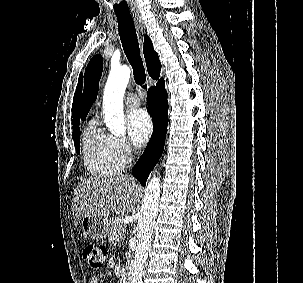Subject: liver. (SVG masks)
I'll list each match as a JSON object with an SVG mask.
<instances>
[{"mask_svg":"<svg viewBox=\"0 0 303 283\" xmlns=\"http://www.w3.org/2000/svg\"><path fill=\"white\" fill-rule=\"evenodd\" d=\"M139 186L130 175L91 177L78 183L73 198L75 225L84 216H109L134 209Z\"/></svg>","mask_w":303,"mask_h":283,"instance_id":"6515ba94","label":"liver"}]
</instances>
